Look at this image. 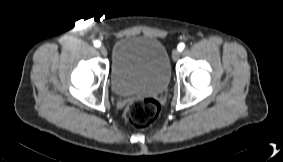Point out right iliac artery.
<instances>
[{
    "label": "right iliac artery",
    "instance_id": "82829eb1",
    "mask_svg": "<svg viewBox=\"0 0 283 162\" xmlns=\"http://www.w3.org/2000/svg\"><path fill=\"white\" fill-rule=\"evenodd\" d=\"M101 45V43L98 41V40H96L95 42H94V46L95 47H99Z\"/></svg>",
    "mask_w": 283,
    "mask_h": 162
}]
</instances>
